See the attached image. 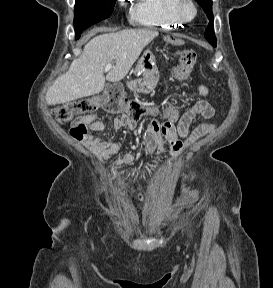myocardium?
Here are the masks:
<instances>
[{
  "instance_id": "f54148a6",
  "label": "myocardium",
  "mask_w": 273,
  "mask_h": 288,
  "mask_svg": "<svg viewBox=\"0 0 273 288\" xmlns=\"http://www.w3.org/2000/svg\"><path fill=\"white\" fill-rule=\"evenodd\" d=\"M175 12L182 21L189 22L196 17L197 7L193 0H178Z\"/></svg>"
}]
</instances>
